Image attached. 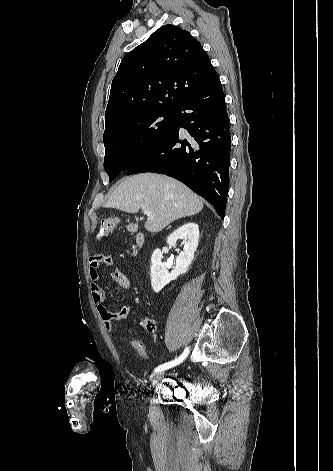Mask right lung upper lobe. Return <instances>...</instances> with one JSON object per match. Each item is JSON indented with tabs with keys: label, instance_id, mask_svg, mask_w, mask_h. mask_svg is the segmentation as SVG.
I'll list each match as a JSON object with an SVG mask.
<instances>
[{
	"label": "right lung upper lobe",
	"instance_id": "1",
	"mask_svg": "<svg viewBox=\"0 0 333 471\" xmlns=\"http://www.w3.org/2000/svg\"><path fill=\"white\" fill-rule=\"evenodd\" d=\"M217 78L201 44L188 31L164 25L123 57L111 84L105 129L143 111L175 112Z\"/></svg>",
	"mask_w": 333,
	"mask_h": 471
}]
</instances>
